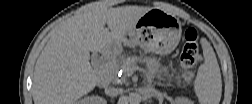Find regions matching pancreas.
Masks as SVG:
<instances>
[{
	"label": "pancreas",
	"mask_w": 252,
	"mask_h": 104,
	"mask_svg": "<svg viewBox=\"0 0 252 104\" xmlns=\"http://www.w3.org/2000/svg\"><path fill=\"white\" fill-rule=\"evenodd\" d=\"M138 59L137 58H128L126 60V64L128 66H135V64L137 63ZM147 59H143L141 60V62H146ZM120 69V64L117 62V61H113V62H110L108 63L106 66H105V71L108 73V74H112L113 72H117L118 70ZM161 72L163 74H167L168 73V69L167 68H163L161 70ZM124 76H127V74H125Z\"/></svg>",
	"instance_id": "pancreas-1"
}]
</instances>
